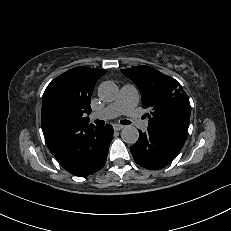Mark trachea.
Wrapping results in <instances>:
<instances>
[{"mask_svg": "<svg viewBox=\"0 0 231 231\" xmlns=\"http://www.w3.org/2000/svg\"><path fill=\"white\" fill-rule=\"evenodd\" d=\"M94 122H95L96 125H99V126L105 124V122L103 120H95ZM120 123L123 124V125L131 124V122L129 120H121Z\"/></svg>", "mask_w": 231, "mask_h": 231, "instance_id": "obj_1", "label": "trachea"}]
</instances>
